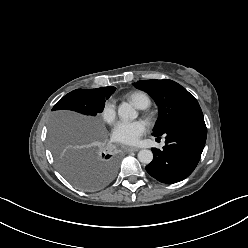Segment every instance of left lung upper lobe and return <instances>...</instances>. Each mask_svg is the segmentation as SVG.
Wrapping results in <instances>:
<instances>
[{"label": "left lung upper lobe", "instance_id": "1", "mask_svg": "<svg viewBox=\"0 0 248 248\" xmlns=\"http://www.w3.org/2000/svg\"><path fill=\"white\" fill-rule=\"evenodd\" d=\"M135 87L147 92L159 107L153 136H161L187 114L201 110L193 95L172 80H141Z\"/></svg>", "mask_w": 248, "mask_h": 248}]
</instances>
